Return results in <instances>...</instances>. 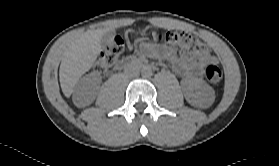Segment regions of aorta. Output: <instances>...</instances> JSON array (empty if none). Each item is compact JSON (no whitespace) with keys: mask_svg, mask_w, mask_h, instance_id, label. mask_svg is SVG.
I'll return each instance as SVG.
<instances>
[{"mask_svg":"<svg viewBox=\"0 0 279 166\" xmlns=\"http://www.w3.org/2000/svg\"><path fill=\"white\" fill-rule=\"evenodd\" d=\"M141 74L143 77H150L152 75V69L148 66H145L142 68Z\"/></svg>","mask_w":279,"mask_h":166,"instance_id":"762f6f07","label":"aorta"}]
</instances>
